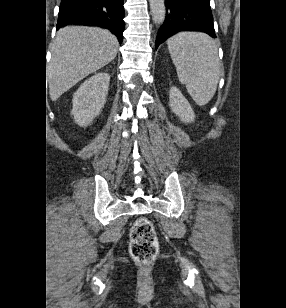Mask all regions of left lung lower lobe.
<instances>
[{
    "label": "left lung lower lobe",
    "instance_id": "obj_1",
    "mask_svg": "<svg viewBox=\"0 0 286 308\" xmlns=\"http://www.w3.org/2000/svg\"><path fill=\"white\" fill-rule=\"evenodd\" d=\"M166 17L155 48L180 31H201L216 37L209 0H165Z\"/></svg>",
    "mask_w": 286,
    "mask_h": 308
}]
</instances>
